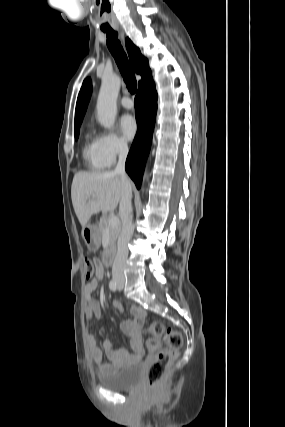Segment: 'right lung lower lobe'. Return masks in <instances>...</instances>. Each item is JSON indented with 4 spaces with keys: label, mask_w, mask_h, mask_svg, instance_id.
Masks as SVG:
<instances>
[{
    "label": "right lung lower lobe",
    "mask_w": 285,
    "mask_h": 427,
    "mask_svg": "<svg viewBox=\"0 0 285 427\" xmlns=\"http://www.w3.org/2000/svg\"><path fill=\"white\" fill-rule=\"evenodd\" d=\"M138 131L129 151L125 169L139 189L150 150L157 111V92L152 76L143 81L135 98Z\"/></svg>",
    "instance_id": "98d812e1"
}]
</instances>
